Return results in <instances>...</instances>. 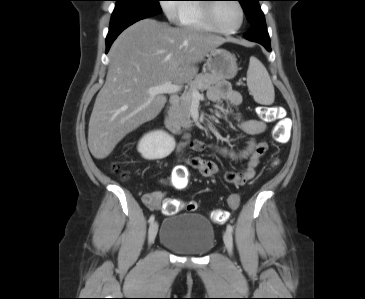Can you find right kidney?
Returning a JSON list of instances; mask_svg holds the SVG:
<instances>
[{
    "instance_id": "ca27d5eb",
    "label": "right kidney",
    "mask_w": 365,
    "mask_h": 299,
    "mask_svg": "<svg viewBox=\"0 0 365 299\" xmlns=\"http://www.w3.org/2000/svg\"><path fill=\"white\" fill-rule=\"evenodd\" d=\"M174 148V139L162 130L146 134L138 144V152L148 160L165 158Z\"/></svg>"
}]
</instances>
